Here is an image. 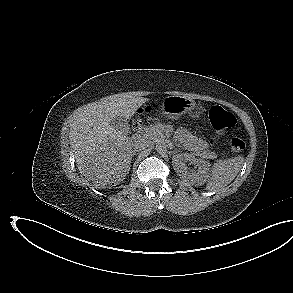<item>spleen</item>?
Listing matches in <instances>:
<instances>
[{"label": "spleen", "mask_w": 293, "mask_h": 293, "mask_svg": "<svg viewBox=\"0 0 293 293\" xmlns=\"http://www.w3.org/2000/svg\"><path fill=\"white\" fill-rule=\"evenodd\" d=\"M243 162L244 158L237 156L214 163L207 175V190L217 191L230 184L239 173Z\"/></svg>", "instance_id": "1"}]
</instances>
